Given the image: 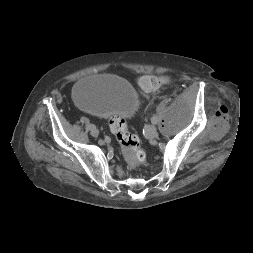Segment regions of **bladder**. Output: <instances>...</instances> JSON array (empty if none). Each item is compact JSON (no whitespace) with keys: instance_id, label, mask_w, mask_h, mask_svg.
Here are the masks:
<instances>
[{"instance_id":"1","label":"bladder","mask_w":253,"mask_h":253,"mask_svg":"<svg viewBox=\"0 0 253 253\" xmlns=\"http://www.w3.org/2000/svg\"><path fill=\"white\" fill-rule=\"evenodd\" d=\"M72 96L83 109L108 118H130L140 104L137 91L127 80L108 74L81 78L75 83Z\"/></svg>"}]
</instances>
